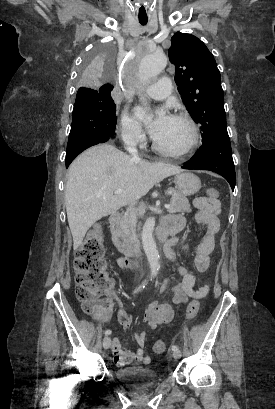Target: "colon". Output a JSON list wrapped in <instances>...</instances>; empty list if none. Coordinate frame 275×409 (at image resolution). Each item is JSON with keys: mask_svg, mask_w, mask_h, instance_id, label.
<instances>
[{"mask_svg": "<svg viewBox=\"0 0 275 409\" xmlns=\"http://www.w3.org/2000/svg\"><path fill=\"white\" fill-rule=\"evenodd\" d=\"M210 199H216L218 190L211 188L207 191ZM201 233L206 232V227L201 226ZM104 231L101 224H95L87 233L81 247L77 250L75 260V281L77 287L75 294L80 301L87 316L103 319L108 315L109 310L115 304V298L111 293L114 285L113 279L107 272V260L105 258ZM200 303L198 299L190 302L186 318L194 319L199 311ZM159 356L161 351L166 350V343L157 342L153 346Z\"/></svg>", "mask_w": 275, "mask_h": 409, "instance_id": "obj_1", "label": "colon"}]
</instances>
